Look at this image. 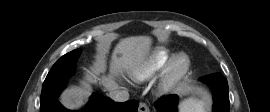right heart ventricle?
Masks as SVG:
<instances>
[{"mask_svg":"<svg viewBox=\"0 0 270 112\" xmlns=\"http://www.w3.org/2000/svg\"><path fill=\"white\" fill-rule=\"evenodd\" d=\"M172 54L168 48H155L135 67L133 78L137 81L150 79L165 66Z\"/></svg>","mask_w":270,"mask_h":112,"instance_id":"1","label":"right heart ventricle"}]
</instances>
